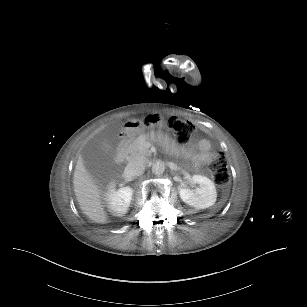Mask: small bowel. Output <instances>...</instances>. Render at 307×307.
I'll use <instances>...</instances> for the list:
<instances>
[{"mask_svg": "<svg viewBox=\"0 0 307 307\" xmlns=\"http://www.w3.org/2000/svg\"><path fill=\"white\" fill-rule=\"evenodd\" d=\"M187 154L192 159L195 167L210 163L215 156V153L211 150L210 142L206 139H201L188 147Z\"/></svg>", "mask_w": 307, "mask_h": 307, "instance_id": "obj_1", "label": "small bowel"}]
</instances>
